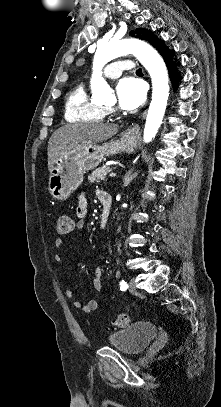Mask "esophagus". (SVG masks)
<instances>
[{
  "mask_svg": "<svg viewBox=\"0 0 221 407\" xmlns=\"http://www.w3.org/2000/svg\"><path fill=\"white\" fill-rule=\"evenodd\" d=\"M140 130V127L138 125L133 126L132 128H130L129 132L133 133V134H137Z\"/></svg>",
  "mask_w": 221,
  "mask_h": 407,
  "instance_id": "34e87169",
  "label": "esophagus"
}]
</instances>
